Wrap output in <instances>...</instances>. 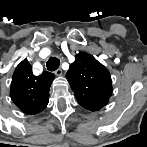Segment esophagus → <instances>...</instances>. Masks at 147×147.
Wrapping results in <instances>:
<instances>
[{"instance_id":"obj_1","label":"esophagus","mask_w":147,"mask_h":147,"mask_svg":"<svg viewBox=\"0 0 147 147\" xmlns=\"http://www.w3.org/2000/svg\"><path fill=\"white\" fill-rule=\"evenodd\" d=\"M54 73H55L56 76H61L62 69L61 68H58Z\"/></svg>"}]
</instances>
